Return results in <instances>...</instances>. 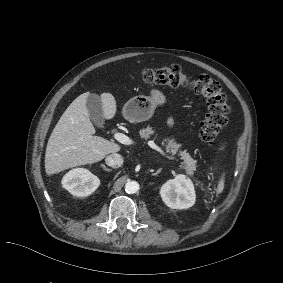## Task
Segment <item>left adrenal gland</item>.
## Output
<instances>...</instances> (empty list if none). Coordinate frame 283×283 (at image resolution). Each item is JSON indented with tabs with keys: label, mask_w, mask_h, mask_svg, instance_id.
<instances>
[{
	"label": "left adrenal gland",
	"mask_w": 283,
	"mask_h": 283,
	"mask_svg": "<svg viewBox=\"0 0 283 283\" xmlns=\"http://www.w3.org/2000/svg\"><path fill=\"white\" fill-rule=\"evenodd\" d=\"M161 171V169L159 168L155 173L154 175H158V173Z\"/></svg>",
	"instance_id": "obj_1"
}]
</instances>
